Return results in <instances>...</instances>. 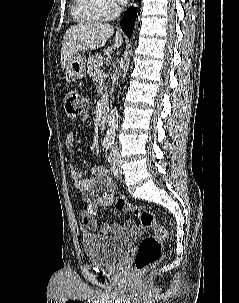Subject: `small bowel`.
Masks as SVG:
<instances>
[{"label":"small bowel","instance_id":"c3829d8e","mask_svg":"<svg viewBox=\"0 0 239 303\" xmlns=\"http://www.w3.org/2000/svg\"><path fill=\"white\" fill-rule=\"evenodd\" d=\"M65 143L68 148L74 147L76 143V135L74 132H70L66 136ZM90 172L92 174L91 177L83 178L81 171L76 167L72 166L70 170L74 185L81 192L83 201L91 202L95 208H98L104 205L97 199V194L103 190L113 192L116 189V185L111 179L108 170L103 165L98 164L92 166ZM82 221L89 230L95 231L97 229L96 219L88 215L85 211L82 212ZM100 229L104 234H121L123 231L134 230L135 223L131 220H127L123 226L118 223H104Z\"/></svg>","mask_w":239,"mask_h":303}]
</instances>
